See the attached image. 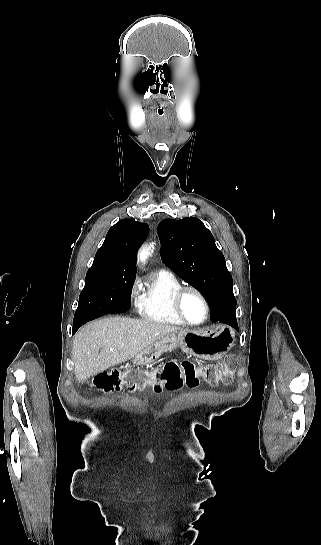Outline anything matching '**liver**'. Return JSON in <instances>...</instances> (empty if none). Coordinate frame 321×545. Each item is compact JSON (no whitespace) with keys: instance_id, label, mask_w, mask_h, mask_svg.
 Wrapping results in <instances>:
<instances>
[{"instance_id":"1","label":"liver","mask_w":321,"mask_h":545,"mask_svg":"<svg viewBox=\"0 0 321 545\" xmlns=\"http://www.w3.org/2000/svg\"><path fill=\"white\" fill-rule=\"evenodd\" d=\"M177 331L183 329L168 323L126 317H107L88 323L79 329L73 339L72 359L76 381L83 383L91 375L125 363L162 337Z\"/></svg>"}]
</instances>
